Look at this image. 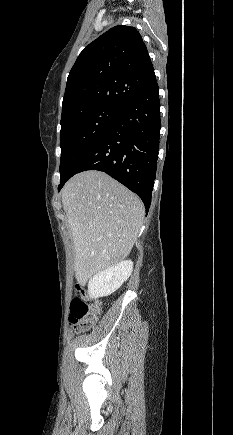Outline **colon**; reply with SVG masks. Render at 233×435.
<instances>
[{
  "label": "colon",
  "instance_id": "obj_1",
  "mask_svg": "<svg viewBox=\"0 0 233 435\" xmlns=\"http://www.w3.org/2000/svg\"><path fill=\"white\" fill-rule=\"evenodd\" d=\"M85 294L83 285L78 284L71 301L70 323L77 333L91 330L100 315V304H87L84 299Z\"/></svg>",
  "mask_w": 233,
  "mask_h": 435
}]
</instances>
